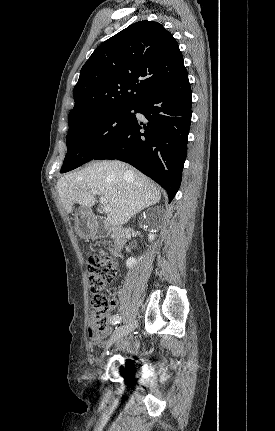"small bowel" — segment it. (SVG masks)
<instances>
[{"label": "small bowel", "mask_w": 275, "mask_h": 431, "mask_svg": "<svg viewBox=\"0 0 275 431\" xmlns=\"http://www.w3.org/2000/svg\"><path fill=\"white\" fill-rule=\"evenodd\" d=\"M110 331H111L110 327H107L102 332L89 331V337H90L91 342L94 345L100 346L102 344L103 339L107 335H109ZM118 346L127 348L128 350H134L138 346V344H137V342L131 343V342H128L126 340H121V341H119Z\"/></svg>", "instance_id": "1"}]
</instances>
